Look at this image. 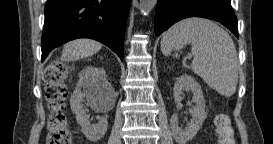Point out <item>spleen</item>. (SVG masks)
Wrapping results in <instances>:
<instances>
[{"label":"spleen","mask_w":273,"mask_h":144,"mask_svg":"<svg viewBox=\"0 0 273 144\" xmlns=\"http://www.w3.org/2000/svg\"><path fill=\"white\" fill-rule=\"evenodd\" d=\"M174 43L192 45L195 74L220 95L231 97L238 83V61L234 42L219 25L204 18L184 19L168 29L161 40L164 55Z\"/></svg>","instance_id":"3e777b00"}]
</instances>
